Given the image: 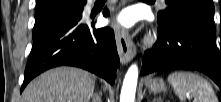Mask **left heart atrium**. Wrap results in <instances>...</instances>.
<instances>
[{
	"mask_svg": "<svg viewBox=\"0 0 221 102\" xmlns=\"http://www.w3.org/2000/svg\"><path fill=\"white\" fill-rule=\"evenodd\" d=\"M114 23L122 28H131L134 24V16L129 10H124L114 18Z\"/></svg>",
	"mask_w": 221,
	"mask_h": 102,
	"instance_id": "39dd6f15",
	"label": "left heart atrium"
}]
</instances>
